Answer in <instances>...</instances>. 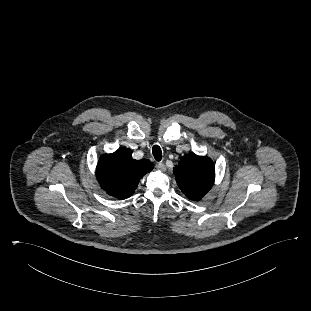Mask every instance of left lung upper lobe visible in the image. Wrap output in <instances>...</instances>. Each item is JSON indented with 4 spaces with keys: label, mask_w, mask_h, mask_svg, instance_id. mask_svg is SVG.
<instances>
[{
    "label": "left lung upper lobe",
    "mask_w": 311,
    "mask_h": 311,
    "mask_svg": "<svg viewBox=\"0 0 311 311\" xmlns=\"http://www.w3.org/2000/svg\"><path fill=\"white\" fill-rule=\"evenodd\" d=\"M181 191L191 200L198 201L211 189L215 179V166L208 157L186 154L173 169Z\"/></svg>",
    "instance_id": "5c2ea615"
}]
</instances>
